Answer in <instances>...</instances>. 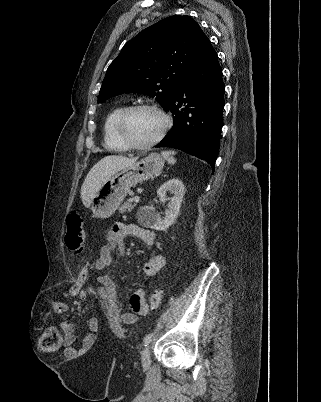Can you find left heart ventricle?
Instances as JSON below:
<instances>
[{
	"instance_id": "1",
	"label": "left heart ventricle",
	"mask_w": 321,
	"mask_h": 402,
	"mask_svg": "<svg viewBox=\"0 0 321 402\" xmlns=\"http://www.w3.org/2000/svg\"><path fill=\"white\" fill-rule=\"evenodd\" d=\"M162 128V117L151 110H139L132 113L126 123L127 135L138 144L153 140Z\"/></svg>"
}]
</instances>
